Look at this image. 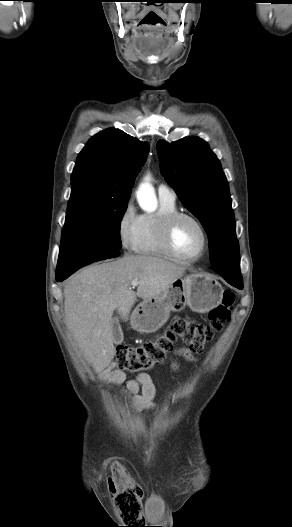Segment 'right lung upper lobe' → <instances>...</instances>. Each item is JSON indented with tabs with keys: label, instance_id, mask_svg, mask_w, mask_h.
<instances>
[{
	"label": "right lung upper lobe",
	"instance_id": "cb5924a9",
	"mask_svg": "<svg viewBox=\"0 0 292 527\" xmlns=\"http://www.w3.org/2000/svg\"><path fill=\"white\" fill-rule=\"evenodd\" d=\"M149 144L118 129L93 136L77 158L72 188L102 191L115 198H129L135 177L146 161Z\"/></svg>",
	"mask_w": 292,
	"mask_h": 527
}]
</instances>
